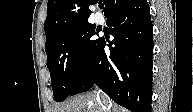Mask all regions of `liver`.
<instances>
[{"mask_svg":"<svg viewBox=\"0 0 193 112\" xmlns=\"http://www.w3.org/2000/svg\"><path fill=\"white\" fill-rule=\"evenodd\" d=\"M111 103L105 99L104 105L97 100L95 92L77 95L57 106V112H111ZM114 112H126L125 109L113 106Z\"/></svg>","mask_w":193,"mask_h":112,"instance_id":"obj_1","label":"liver"}]
</instances>
